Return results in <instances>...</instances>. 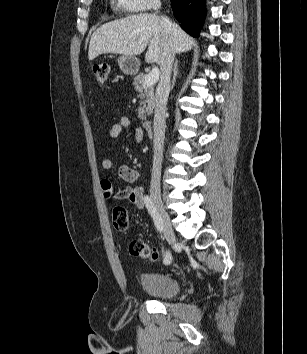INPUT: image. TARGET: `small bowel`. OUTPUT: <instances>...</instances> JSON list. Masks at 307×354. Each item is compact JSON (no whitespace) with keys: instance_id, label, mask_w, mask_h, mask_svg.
Returning <instances> with one entry per match:
<instances>
[{"instance_id":"1","label":"small bowel","mask_w":307,"mask_h":354,"mask_svg":"<svg viewBox=\"0 0 307 354\" xmlns=\"http://www.w3.org/2000/svg\"><path fill=\"white\" fill-rule=\"evenodd\" d=\"M123 130H132V138L134 143H140L143 140V130L140 127L132 128L131 120L128 117H122L119 122L115 123L109 130L108 137L110 140L116 139ZM113 167L110 159H104L101 162V168L108 171ZM118 176L128 185L122 190L115 192L113 184L109 179H102L100 182L103 196L107 200H129L138 209H143L146 205L144 202V187L134 185V183L143 176V173L135 170L127 165H121L117 169Z\"/></svg>"}]
</instances>
